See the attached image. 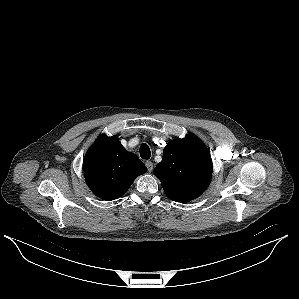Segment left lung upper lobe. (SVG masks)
I'll return each mask as SVG.
<instances>
[{
    "mask_svg": "<svg viewBox=\"0 0 299 299\" xmlns=\"http://www.w3.org/2000/svg\"><path fill=\"white\" fill-rule=\"evenodd\" d=\"M212 171V160L206 147L189 133L184 139L167 144L154 174L161 181L167 197L177 202H189L208 187Z\"/></svg>",
    "mask_w": 299,
    "mask_h": 299,
    "instance_id": "5c2ea615",
    "label": "left lung upper lobe"
}]
</instances>
